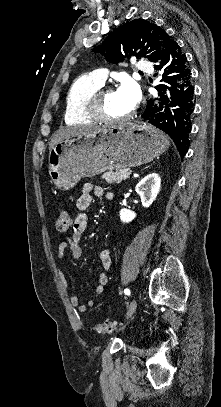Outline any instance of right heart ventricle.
<instances>
[{
	"instance_id": "obj_1",
	"label": "right heart ventricle",
	"mask_w": 221,
	"mask_h": 407,
	"mask_svg": "<svg viewBox=\"0 0 221 407\" xmlns=\"http://www.w3.org/2000/svg\"><path fill=\"white\" fill-rule=\"evenodd\" d=\"M101 87L90 75L79 76L72 82L64 106V120L67 124H89L94 121L87 113V106Z\"/></svg>"
}]
</instances>
